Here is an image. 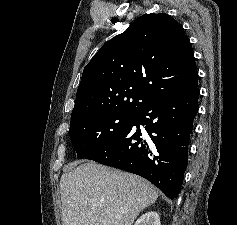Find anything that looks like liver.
<instances>
[{
	"label": "liver",
	"instance_id": "6515ba94",
	"mask_svg": "<svg viewBox=\"0 0 237 225\" xmlns=\"http://www.w3.org/2000/svg\"><path fill=\"white\" fill-rule=\"evenodd\" d=\"M63 225H132L158 198L144 178L88 161L60 179Z\"/></svg>",
	"mask_w": 237,
	"mask_h": 225
}]
</instances>
